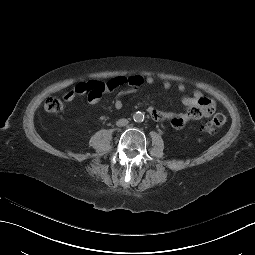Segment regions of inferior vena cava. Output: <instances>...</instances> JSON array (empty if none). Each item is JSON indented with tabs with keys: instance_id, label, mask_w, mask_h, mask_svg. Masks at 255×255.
I'll use <instances>...</instances> for the list:
<instances>
[{
	"instance_id": "inferior-vena-cava-1",
	"label": "inferior vena cava",
	"mask_w": 255,
	"mask_h": 255,
	"mask_svg": "<svg viewBox=\"0 0 255 255\" xmlns=\"http://www.w3.org/2000/svg\"><path fill=\"white\" fill-rule=\"evenodd\" d=\"M128 120L127 119H119L117 122H116V125L118 127H123V126H126L128 124Z\"/></svg>"
}]
</instances>
